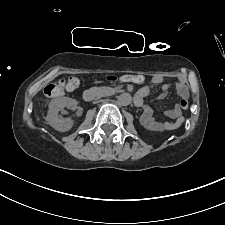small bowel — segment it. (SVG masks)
<instances>
[{
	"instance_id": "c3829d8e",
	"label": "small bowel",
	"mask_w": 225,
	"mask_h": 225,
	"mask_svg": "<svg viewBox=\"0 0 225 225\" xmlns=\"http://www.w3.org/2000/svg\"><path fill=\"white\" fill-rule=\"evenodd\" d=\"M162 77L155 76L151 81V86H146L141 88L135 97L141 101V103H137L138 106L143 105L144 97H146L152 90L153 87L159 86L162 84ZM175 87L176 93L182 97L187 98L189 95L188 88L186 87L185 81L182 78L177 79L174 82H168L162 84L161 90L162 93L160 95L161 98L165 97L170 89ZM165 116L168 117L169 121H158L154 115L153 110L149 106H144V112L141 117L142 124L149 130L152 131H164V130H172L177 128L183 121L184 118L182 116V112L180 108L177 106L172 110L166 111Z\"/></svg>"
}]
</instances>
